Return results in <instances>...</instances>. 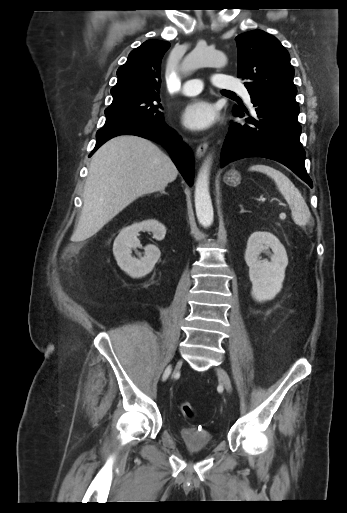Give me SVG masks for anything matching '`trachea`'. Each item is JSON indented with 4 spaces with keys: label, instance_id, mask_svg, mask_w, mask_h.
I'll list each match as a JSON object with an SVG mask.
<instances>
[{
    "label": "trachea",
    "instance_id": "trachea-1",
    "mask_svg": "<svg viewBox=\"0 0 347 513\" xmlns=\"http://www.w3.org/2000/svg\"><path fill=\"white\" fill-rule=\"evenodd\" d=\"M222 92H224V93H228V94H233V92H231V91H226V90H223Z\"/></svg>",
    "mask_w": 347,
    "mask_h": 513
}]
</instances>
